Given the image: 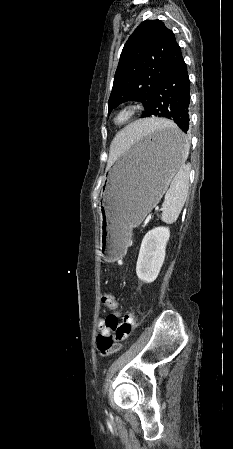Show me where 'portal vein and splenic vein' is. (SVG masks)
Listing matches in <instances>:
<instances>
[{"label": "portal vein and splenic vein", "instance_id": "1", "mask_svg": "<svg viewBox=\"0 0 233 449\" xmlns=\"http://www.w3.org/2000/svg\"><path fill=\"white\" fill-rule=\"evenodd\" d=\"M160 209H159V207L157 206V207H155V212H158Z\"/></svg>", "mask_w": 233, "mask_h": 449}]
</instances>
